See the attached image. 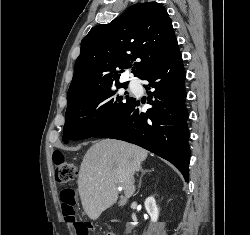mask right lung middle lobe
I'll use <instances>...</instances> for the list:
<instances>
[{
  "label": "right lung middle lobe",
  "mask_w": 250,
  "mask_h": 235,
  "mask_svg": "<svg viewBox=\"0 0 250 235\" xmlns=\"http://www.w3.org/2000/svg\"><path fill=\"white\" fill-rule=\"evenodd\" d=\"M117 88L126 86L116 85ZM112 85L80 96L69 102L66 110L63 141L93 137L116 119L133 101V98L117 96Z\"/></svg>",
  "instance_id": "1"
}]
</instances>
